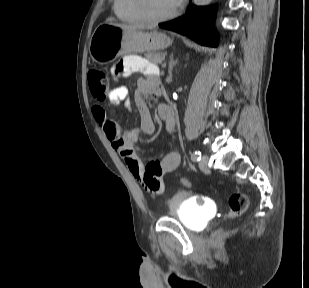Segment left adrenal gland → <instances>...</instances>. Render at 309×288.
Returning <instances> with one entry per match:
<instances>
[{"label":"left adrenal gland","mask_w":309,"mask_h":288,"mask_svg":"<svg viewBox=\"0 0 309 288\" xmlns=\"http://www.w3.org/2000/svg\"><path fill=\"white\" fill-rule=\"evenodd\" d=\"M177 60L173 59V53L170 55V61H169V67H168V72H169V77H172V70L173 67L176 65Z\"/></svg>","instance_id":"1"}]
</instances>
